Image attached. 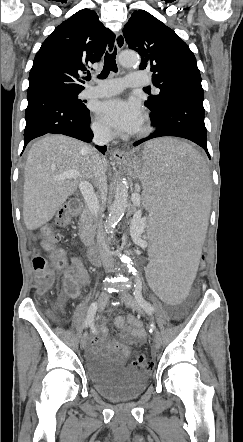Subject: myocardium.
<instances>
[{"instance_id":"myocardium-1","label":"myocardium","mask_w":243,"mask_h":442,"mask_svg":"<svg viewBox=\"0 0 243 442\" xmlns=\"http://www.w3.org/2000/svg\"><path fill=\"white\" fill-rule=\"evenodd\" d=\"M150 130V123L147 117L144 118V121L142 122L141 127L136 132L137 136H143L147 134Z\"/></svg>"}]
</instances>
